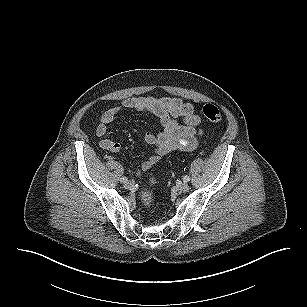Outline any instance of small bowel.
Returning a JSON list of instances; mask_svg holds the SVG:
<instances>
[{
	"label": "small bowel",
	"instance_id": "1",
	"mask_svg": "<svg viewBox=\"0 0 307 307\" xmlns=\"http://www.w3.org/2000/svg\"><path fill=\"white\" fill-rule=\"evenodd\" d=\"M125 110L146 111L159 119L161 129L158 132H147L145 142L154 146L152 154L138 167L137 172L145 171L156 165L165 155L177 151H191L197 147V139L202 134L201 119L195 113L191 103L181 98L132 97L124 99L119 106L105 111L96 127V135L104 137L108 125ZM182 119L183 124L177 119ZM100 147L111 153L121 150L120 144L112 139L103 138Z\"/></svg>",
	"mask_w": 307,
	"mask_h": 307
}]
</instances>
